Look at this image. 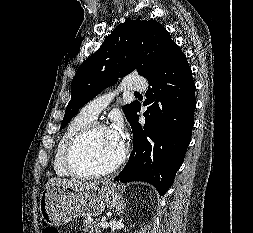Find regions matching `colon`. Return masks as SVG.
<instances>
[{
    "label": "colon",
    "mask_w": 253,
    "mask_h": 233,
    "mask_svg": "<svg viewBox=\"0 0 253 233\" xmlns=\"http://www.w3.org/2000/svg\"><path fill=\"white\" fill-rule=\"evenodd\" d=\"M43 233H60V231L56 227L48 226L44 228Z\"/></svg>",
    "instance_id": "5ec220e1"
}]
</instances>
